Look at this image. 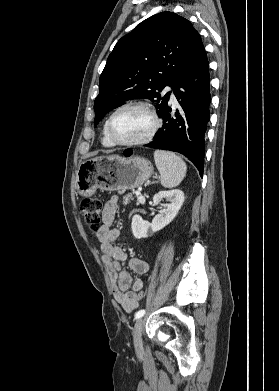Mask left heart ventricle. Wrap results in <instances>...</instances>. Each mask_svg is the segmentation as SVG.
Masks as SVG:
<instances>
[{
  "instance_id": "1",
  "label": "left heart ventricle",
  "mask_w": 279,
  "mask_h": 391,
  "mask_svg": "<svg viewBox=\"0 0 279 391\" xmlns=\"http://www.w3.org/2000/svg\"><path fill=\"white\" fill-rule=\"evenodd\" d=\"M151 126L152 120L147 112L138 108H126L113 118L111 132L119 141H132L143 137Z\"/></svg>"
}]
</instances>
